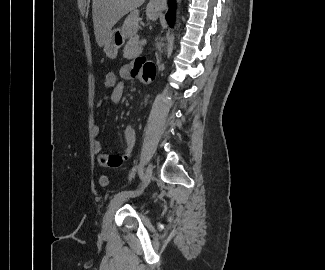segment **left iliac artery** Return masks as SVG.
I'll return each instance as SVG.
<instances>
[{"label": "left iliac artery", "instance_id": "44dca946", "mask_svg": "<svg viewBox=\"0 0 325 270\" xmlns=\"http://www.w3.org/2000/svg\"><path fill=\"white\" fill-rule=\"evenodd\" d=\"M138 174L141 179H143V165L140 164L138 168ZM137 193V190H129V191H122L114 195V198L112 199L115 200L117 198H120L122 196H131Z\"/></svg>", "mask_w": 325, "mask_h": 270}]
</instances>
